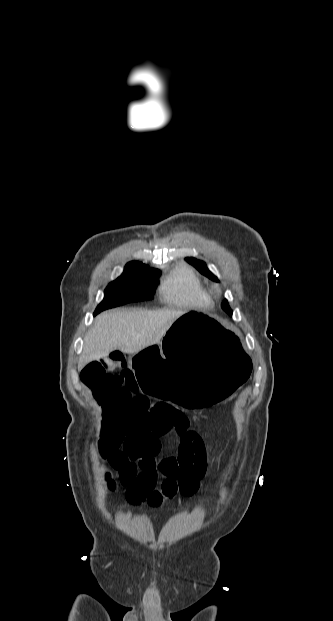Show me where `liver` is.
Listing matches in <instances>:
<instances>
[{
	"mask_svg": "<svg viewBox=\"0 0 333 621\" xmlns=\"http://www.w3.org/2000/svg\"><path fill=\"white\" fill-rule=\"evenodd\" d=\"M184 314L181 310H113L95 318L84 338L78 367L106 357L119 349L136 354L157 344L170 326Z\"/></svg>",
	"mask_w": 333,
	"mask_h": 621,
	"instance_id": "1",
	"label": "liver"
}]
</instances>
